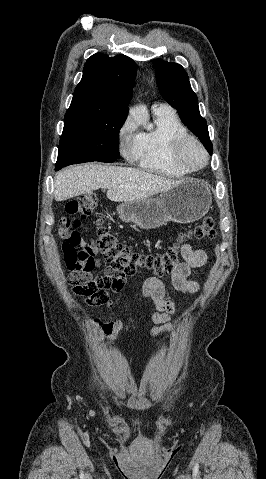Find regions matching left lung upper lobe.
<instances>
[{"label": "left lung upper lobe", "instance_id": "5c2ea615", "mask_svg": "<svg viewBox=\"0 0 266 479\" xmlns=\"http://www.w3.org/2000/svg\"><path fill=\"white\" fill-rule=\"evenodd\" d=\"M156 83L158 89L171 106L178 111L181 121L200 139L206 150L212 155L213 146L209 138L206 120L201 117L198 99L190 86L189 78L183 67L156 59Z\"/></svg>", "mask_w": 266, "mask_h": 479}]
</instances>
